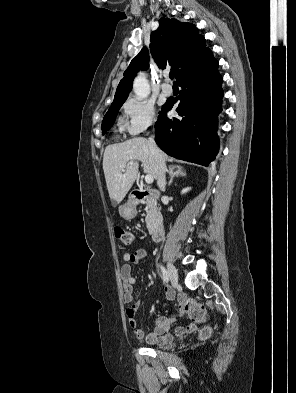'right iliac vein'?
I'll return each mask as SVG.
<instances>
[{
    "label": "right iliac vein",
    "instance_id": "63e3f726",
    "mask_svg": "<svg viewBox=\"0 0 296 393\" xmlns=\"http://www.w3.org/2000/svg\"><path fill=\"white\" fill-rule=\"evenodd\" d=\"M167 271H168V276L174 286L178 285V273L175 268V266L172 263L167 264Z\"/></svg>",
    "mask_w": 296,
    "mask_h": 393
}]
</instances>
